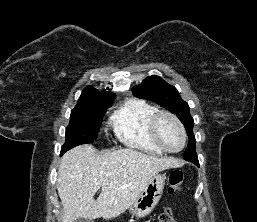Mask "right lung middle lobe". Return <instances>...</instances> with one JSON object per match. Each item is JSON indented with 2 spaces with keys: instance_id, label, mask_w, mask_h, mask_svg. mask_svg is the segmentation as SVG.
Masks as SVG:
<instances>
[{
  "instance_id": "dd1d6c3e",
  "label": "right lung middle lobe",
  "mask_w": 257,
  "mask_h": 222,
  "mask_svg": "<svg viewBox=\"0 0 257 222\" xmlns=\"http://www.w3.org/2000/svg\"><path fill=\"white\" fill-rule=\"evenodd\" d=\"M110 102H85L71 111L70 123L66 128V142L61 148V155L81 144L91 143L98 137V131Z\"/></svg>"
}]
</instances>
